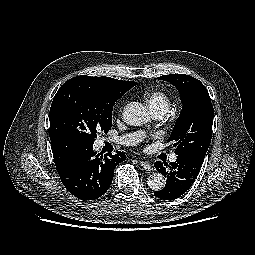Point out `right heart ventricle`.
Here are the masks:
<instances>
[{"instance_id": "1", "label": "right heart ventricle", "mask_w": 255, "mask_h": 255, "mask_svg": "<svg viewBox=\"0 0 255 255\" xmlns=\"http://www.w3.org/2000/svg\"><path fill=\"white\" fill-rule=\"evenodd\" d=\"M145 101L152 112L159 110L167 112L170 107L169 96L165 92L160 90H155L148 93L145 96Z\"/></svg>"}]
</instances>
